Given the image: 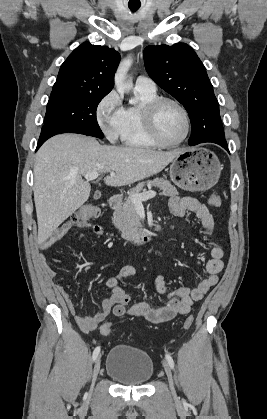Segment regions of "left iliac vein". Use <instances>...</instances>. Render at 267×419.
Masks as SVG:
<instances>
[{
    "label": "left iliac vein",
    "mask_w": 267,
    "mask_h": 419,
    "mask_svg": "<svg viewBox=\"0 0 267 419\" xmlns=\"http://www.w3.org/2000/svg\"><path fill=\"white\" fill-rule=\"evenodd\" d=\"M163 366H164L165 373H166V376H167V379H168L170 390H171L173 395H176L175 388H174L172 371H171L169 365L166 362L163 363Z\"/></svg>",
    "instance_id": "obj_1"
}]
</instances>
